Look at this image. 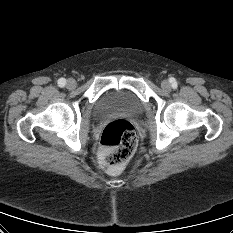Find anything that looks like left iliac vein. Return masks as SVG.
Returning <instances> with one entry per match:
<instances>
[{"label": "left iliac vein", "instance_id": "obj_1", "mask_svg": "<svg viewBox=\"0 0 233 233\" xmlns=\"http://www.w3.org/2000/svg\"><path fill=\"white\" fill-rule=\"evenodd\" d=\"M161 87L165 91H170L171 90V84L168 80H163L161 83Z\"/></svg>", "mask_w": 233, "mask_h": 233}]
</instances>
